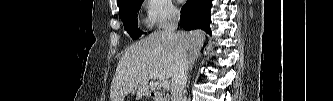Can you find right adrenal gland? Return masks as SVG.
<instances>
[{"mask_svg": "<svg viewBox=\"0 0 333 101\" xmlns=\"http://www.w3.org/2000/svg\"><path fill=\"white\" fill-rule=\"evenodd\" d=\"M200 55V48L189 51V62H188V70L191 71L194 62L197 60V58Z\"/></svg>", "mask_w": 333, "mask_h": 101, "instance_id": "obj_1", "label": "right adrenal gland"}]
</instances>
